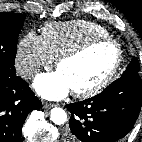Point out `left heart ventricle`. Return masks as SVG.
Segmentation results:
<instances>
[{
  "label": "left heart ventricle",
  "instance_id": "left-heart-ventricle-1",
  "mask_svg": "<svg viewBox=\"0 0 142 142\" xmlns=\"http://www.w3.org/2000/svg\"><path fill=\"white\" fill-rule=\"evenodd\" d=\"M115 59L114 47L103 44L62 63L58 70L66 77L72 90L85 89L100 81L111 69Z\"/></svg>",
  "mask_w": 142,
  "mask_h": 142
}]
</instances>
